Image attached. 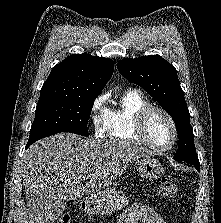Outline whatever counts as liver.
<instances>
[{
    "label": "liver",
    "mask_w": 221,
    "mask_h": 223,
    "mask_svg": "<svg viewBox=\"0 0 221 223\" xmlns=\"http://www.w3.org/2000/svg\"><path fill=\"white\" fill-rule=\"evenodd\" d=\"M151 156L152 152L128 142L83 139L70 133L35 142L21 164L27 198L23 223H52L64 211L63 201L100 192L133 161ZM83 177L89 178L85 186Z\"/></svg>",
    "instance_id": "liver-1"
}]
</instances>
